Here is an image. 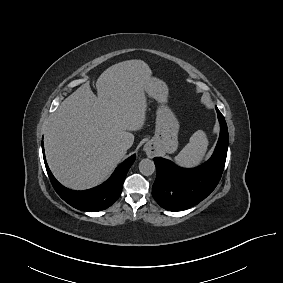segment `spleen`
I'll use <instances>...</instances> for the list:
<instances>
[{
  "mask_svg": "<svg viewBox=\"0 0 283 283\" xmlns=\"http://www.w3.org/2000/svg\"><path fill=\"white\" fill-rule=\"evenodd\" d=\"M208 143L206 133L202 130L196 131L189 143L174 157V161L187 168L199 165L205 156Z\"/></svg>",
  "mask_w": 283,
  "mask_h": 283,
  "instance_id": "spleen-1",
  "label": "spleen"
}]
</instances>
